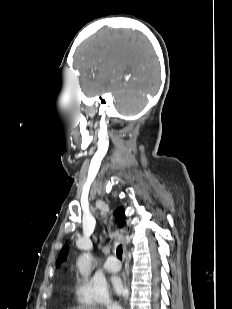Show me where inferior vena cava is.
<instances>
[{"label": "inferior vena cava", "instance_id": "602c4592", "mask_svg": "<svg viewBox=\"0 0 232 309\" xmlns=\"http://www.w3.org/2000/svg\"><path fill=\"white\" fill-rule=\"evenodd\" d=\"M107 309H121L119 306L117 305H113V304H107Z\"/></svg>", "mask_w": 232, "mask_h": 309}]
</instances>
